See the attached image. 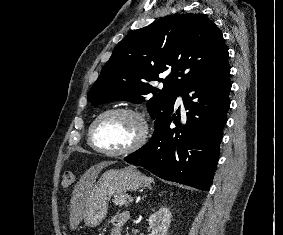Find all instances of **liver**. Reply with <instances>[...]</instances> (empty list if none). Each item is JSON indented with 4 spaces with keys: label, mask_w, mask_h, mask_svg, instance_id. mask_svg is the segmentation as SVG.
<instances>
[{
    "label": "liver",
    "mask_w": 283,
    "mask_h": 235,
    "mask_svg": "<svg viewBox=\"0 0 283 235\" xmlns=\"http://www.w3.org/2000/svg\"><path fill=\"white\" fill-rule=\"evenodd\" d=\"M113 161H104L90 167L85 174L81 177L79 182L75 185L71 199V228H75L82 220L83 213V201L86 194L93 187V184L100 173V171L109 165H112Z\"/></svg>",
    "instance_id": "obj_1"
}]
</instances>
